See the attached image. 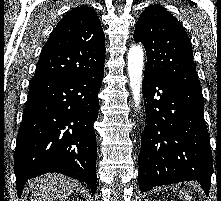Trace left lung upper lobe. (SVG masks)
<instances>
[{"mask_svg": "<svg viewBox=\"0 0 221 201\" xmlns=\"http://www.w3.org/2000/svg\"><path fill=\"white\" fill-rule=\"evenodd\" d=\"M134 40L146 49L145 73L162 81L202 90L188 35L165 8L151 5L143 11L136 23Z\"/></svg>", "mask_w": 221, "mask_h": 201, "instance_id": "obj_1", "label": "left lung upper lobe"}]
</instances>
